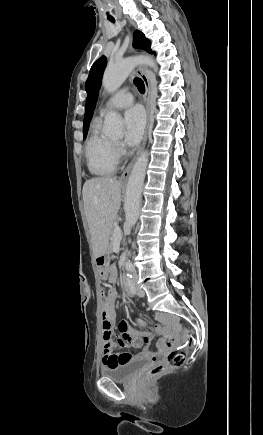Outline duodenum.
Returning a JSON list of instances; mask_svg holds the SVG:
<instances>
[{
	"instance_id": "1",
	"label": "duodenum",
	"mask_w": 263,
	"mask_h": 435,
	"mask_svg": "<svg viewBox=\"0 0 263 435\" xmlns=\"http://www.w3.org/2000/svg\"><path fill=\"white\" fill-rule=\"evenodd\" d=\"M124 287H125V290L129 293L130 292V287H129V284H128L126 279L124 280Z\"/></svg>"
}]
</instances>
